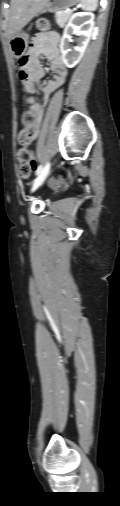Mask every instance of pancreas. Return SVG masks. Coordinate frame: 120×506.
<instances>
[{
  "label": "pancreas",
  "instance_id": "1",
  "mask_svg": "<svg viewBox=\"0 0 120 506\" xmlns=\"http://www.w3.org/2000/svg\"><path fill=\"white\" fill-rule=\"evenodd\" d=\"M70 16L71 13L67 11H58L55 13L56 22L60 27H64Z\"/></svg>",
  "mask_w": 120,
  "mask_h": 506
}]
</instances>
